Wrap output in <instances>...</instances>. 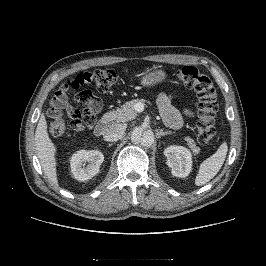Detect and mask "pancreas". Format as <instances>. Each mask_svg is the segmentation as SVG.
<instances>
[{
  "instance_id": "pancreas-1",
  "label": "pancreas",
  "mask_w": 266,
  "mask_h": 266,
  "mask_svg": "<svg viewBox=\"0 0 266 266\" xmlns=\"http://www.w3.org/2000/svg\"><path fill=\"white\" fill-rule=\"evenodd\" d=\"M139 102L144 104L146 101L144 99H135L126 102L121 108L109 112L108 115L110 117V120L116 122H128L135 119L137 116L135 105ZM184 140L194 154H198L200 152V148L196 145L192 138L185 137Z\"/></svg>"
}]
</instances>
